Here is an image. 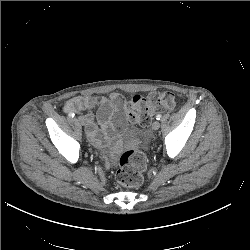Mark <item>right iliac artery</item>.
I'll return each instance as SVG.
<instances>
[{"instance_id": "obj_1", "label": "right iliac artery", "mask_w": 250, "mask_h": 250, "mask_svg": "<svg viewBox=\"0 0 250 250\" xmlns=\"http://www.w3.org/2000/svg\"><path fill=\"white\" fill-rule=\"evenodd\" d=\"M68 116H69L70 118H73V117L75 116V114H74V113H69Z\"/></svg>"}]
</instances>
